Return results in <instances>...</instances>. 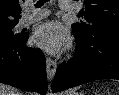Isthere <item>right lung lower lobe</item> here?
<instances>
[{
	"label": "right lung lower lobe",
	"instance_id": "1",
	"mask_svg": "<svg viewBox=\"0 0 119 95\" xmlns=\"http://www.w3.org/2000/svg\"><path fill=\"white\" fill-rule=\"evenodd\" d=\"M28 37L0 39V83L44 95L48 89L45 58L40 49L26 46Z\"/></svg>",
	"mask_w": 119,
	"mask_h": 95
}]
</instances>
